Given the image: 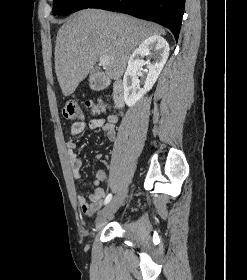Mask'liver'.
Masks as SVG:
<instances>
[{
	"instance_id": "6515ba94",
	"label": "liver",
	"mask_w": 247,
	"mask_h": 280,
	"mask_svg": "<svg viewBox=\"0 0 247 280\" xmlns=\"http://www.w3.org/2000/svg\"><path fill=\"white\" fill-rule=\"evenodd\" d=\"M164 34L159 25L123 14L98 9L73 14L56 37L55 72L62 93L72 95L101 56L109 58L107 76L120 79L130 53L146 38Z\"/></svg>"
}]
</instances>
